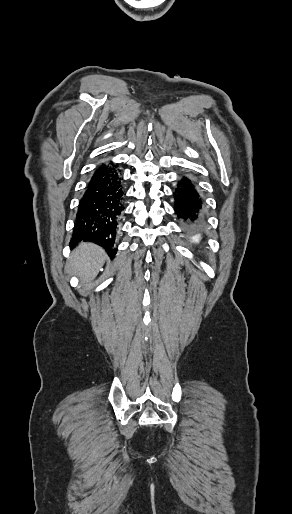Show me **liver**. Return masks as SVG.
<instances>
[{
  "instance_id": "obj_1",
  "label": "liver",
  "mask_w": 292,
  "mask_h": 514,
  "mask_svg": "<svg viewBox=\"0 0 292 514\" xmlns=\"http://www.w3.org/2000/svg\"><path fill=\"white\" fill-rule=\"evenodd\" d=\"M107 256L100 246L96 244H80L70 256L66 270L80 278L81 284H88L96 278Z\"/></svg>"
}]
</instances>
